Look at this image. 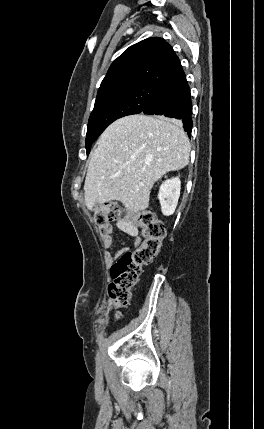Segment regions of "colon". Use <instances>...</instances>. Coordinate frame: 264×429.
<instances>
[{"label":"colon","mask_w":264,"mask_h":429,"mask_svg":"<svg viewBox=\"0 0 264 429\" xmlns=\"http://www.w3.org/2000/svg\"><path fill=\"white\" fill-rule=\"evenodd\" d=\"M119 215V207L112 204L106 209L97 211L94 221L101 230L109 220ZM136 220L141 229L143 241L134 250L124 252L110 270L112 281L108 287V297L111 306L115 309L125 307L129 303L132 289L143 268L157 255L165 236L163 223L155 219L152 213L141 212Z\"/></svg>","instance_id":"colon-1"}]
</instances>
